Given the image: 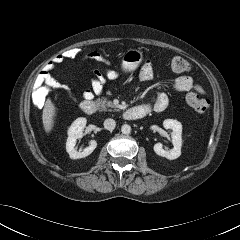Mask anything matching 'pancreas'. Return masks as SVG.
Here are the masks:
<instances>
[{
	"instance_id": "1",
	"label": "pancreas",
	"mask_w": 240,
	"mask_h": 240,
	"mask_svg": "<svg viewBox=\"0 0 240 240\" xmlns=\"http://www.w3.org/2000/svg\"><path fill=\"white\" fill-rule=\"evenodd\" d=\"M96 104L101 111H106L109 107L114 108L110 110L118 111V109L115 108L114 104L111 101H109L107 98L97 99Z\"/></svg>"
}]
</instances>
